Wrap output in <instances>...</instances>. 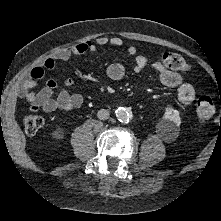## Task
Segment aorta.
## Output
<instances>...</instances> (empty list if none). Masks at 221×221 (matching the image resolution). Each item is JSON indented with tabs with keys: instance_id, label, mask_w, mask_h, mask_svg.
I'll list each match as a JSON object with an SVG mask.
<instances>
[{
	"instance_id": "obj_1",
	"label": "aorta",
	"mask_w": 221,
	"mask_h": 221,
	"mask_svg": "<svg viewBox=\"0 0 221 221\" xmlns=\"http://www.w3.org/2000/svg\"><path fill=\"white\" fill-rule=\"evenodd\" d=\"M115 114L120 122L126 123L131 118V113L124 107H117Z\"/></svg>"
}]
</instances>
